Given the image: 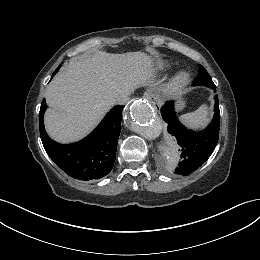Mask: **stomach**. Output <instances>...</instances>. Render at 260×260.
<instances>
[{
	"label": "stomach",
	"instance_id": "obj_1",
	"mask_svg": "<svg viewBox=\"0 0 260 260\" xmlns=\"http://www.w3.org/2000/svg\"><path fill=\"white\" fill-rule=\"evenodd\" d=\"M185 107V101L182 97H178L177 104H176V110L181 111Z\"/></svg>",
	"mask_w": 260,
	"mask_h": 260
}]
</instances>
